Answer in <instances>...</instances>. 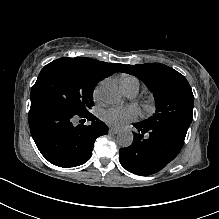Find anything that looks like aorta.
<instances>
[{
  "mask_svg": "<svg viewBox=\"0 0 219 219\" xmlns=\"http://www.w3.org/2000/svg\"><path fill=\"white\" fill-rule=\"evenodd\" d=\"M103 97L110 105H117L122 103V96L117 87L112 84H108L103 88ZM133 142V134L130 131H122L117 135V143L121 147H129Z\"/></svg>",
  "mask_w": 219,
  "mask_h": 219,
  "instance_id": "1",
  "label": "aorta"
}]
</instances>
